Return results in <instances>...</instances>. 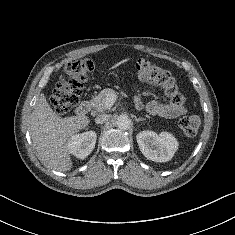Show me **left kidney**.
<instances>
[{"mask_svg":"<svg viewBox=\"0 0 235 235\" xmlns=\"http://www.w3.org/2000/svg\"><path fill=\"white\" fill-rule=\"evenodd\" d=\"M142 154L155 162H167L172 159L178 149L176 138L168 133L157 134L153 131H142L136 136Z\"/></svg>","mask_w":235,"mask_h":235,"instance_id":"1","label":"left kidney"}]
</instances>
